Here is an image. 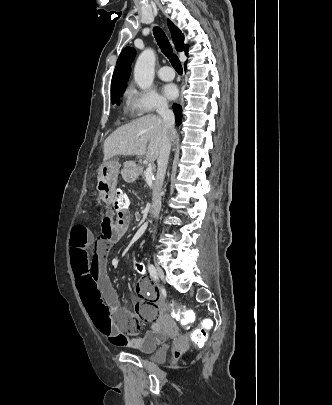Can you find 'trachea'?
Listing matches in <instances>:
<instances>
[{
	"instance_id": "1",
	"label": "trachea",
	"mask_w": 332,
	"mask_h": 405,
	"mask_svg": "<svg viewBox=\"0 0 332 405\" xmlns=\"http://www.w3.org/2000/svg\"><path fill=\"white\" fill-rule=\"evenodd\" d=\"M153 33L159 48L161 49L163 54L169 59L173 68L176 70L177 73H182L183 69L180 60L173 53L171 44L167 36L165 35L164 31L159 27H154Z\"/></svg>"
}]
</instances>
